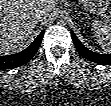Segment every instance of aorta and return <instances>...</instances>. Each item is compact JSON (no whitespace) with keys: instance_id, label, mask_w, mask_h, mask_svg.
<instances>
[{"instance_id":"762f6f07","label":"aorta","mask_w":111,"mask_h":106,"mask_svg":"<svg viewBox=\"0 0 111 106\" xmlns=\"http://www.w3.org/2000/svg\"><path fill=\"white\" fill-rule=\"evenodd\" d=\"M60 19H61V20H64V19H65V17H64V16H60Z\"/></svg>"}]
</instances>
